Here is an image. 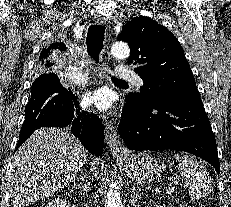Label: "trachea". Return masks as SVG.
<instances>
[{
	"mask_svg": "<svg viewBox=\"0 0 231 207\" xmlns=\"http://www.w3.org/2000/svg\"><path fill=\"white\" fill-rule=\"evenodd\" d=\"M104 34H105L104 25H91L88 29V33L86 37V46L89 56L100 64L101 62H100L99 55L104 47L103 45ZM111 80L114 83H126L125 81L117 79L115 77H111Z\"/></svg>",
	"mask_w": 231,
	"mask_h": 207,
	"instance_id": "1",
	"label": "trachea"
}]
</instances>
